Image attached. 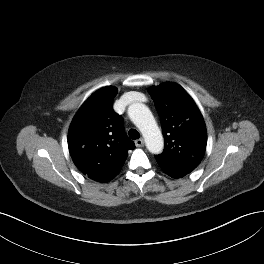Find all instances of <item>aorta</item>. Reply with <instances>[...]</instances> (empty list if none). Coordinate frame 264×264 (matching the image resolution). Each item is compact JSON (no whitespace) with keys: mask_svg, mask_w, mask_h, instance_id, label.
Instances as JSON below:
<instances>
[{"mask_svg":"<svg viewBox=\"0 0 264 264\" xmlns=\"http://www.w3.org/2000/svg\"><path fill=\"white\" fill-rule=\"evenodd\" d=\"M128 115L141 131L147 149L153 154L161 153L163 136L149 108L142 103H133L128 107Z\"/></svg>","mask_w":264,"mask_h":264,"instance_id":"obj_1","label":"aorta"}]
</instances>
